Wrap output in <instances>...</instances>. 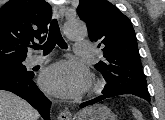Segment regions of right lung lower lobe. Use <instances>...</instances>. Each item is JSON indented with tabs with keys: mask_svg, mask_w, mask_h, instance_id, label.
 <instances>
[{
	"mask_svg": "<svg viewBox=\"0 0 165 120\" xmlns=\"http://www.w3.org/2000/svg\"><path fill=\"white\" fill-rule=\"evenodd\" d=\"M32 78L0 74V90L11 91L20 96L38 109L44 120H50L51 102L38 89Z\"/></svg>",
	"mask_w": 165,
	"mask_h": 120,
	"instance_id": "98d812e1",
	"label": "right lung lower lobe"
}]
</instances>
